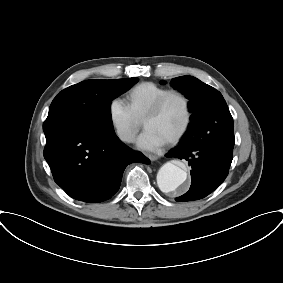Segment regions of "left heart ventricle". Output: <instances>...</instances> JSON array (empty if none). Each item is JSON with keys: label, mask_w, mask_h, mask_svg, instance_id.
I'll list each match as a JSON object with an SVG mask.
<instances>
[{"label": "left heart ventricle", "mask_w": 283, "mask_h": 283, "mask_svg": "<svg viewBox=\"0 0 283 283\" xmlns=\"http://www.w3.org/2000/svg\"><path fill=\"white\" fill-rule=\"evenodd\" d=\"M185 117L186 112L183 100L173 96L168 99L157 116L146 122L145 128L154 131L167 141L181 129Z\"/></svg>", "instance_id": "1"}]
</instances>
